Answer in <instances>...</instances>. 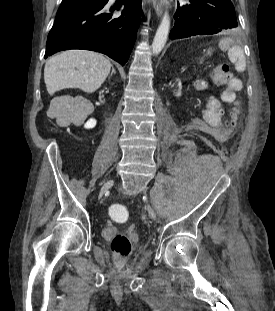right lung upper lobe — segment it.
Returning <instances> with one entry per match:
<instances>
[{"mask_svg":"<svg viewBox=\"0 0 275 311\" xmlns=\"http://www.w3.org/2000/svg\"><path fill=\"white\" fill-rule=\"evenodd\" d=\"M64 1H70V0H63L62 2H64Z\"/></svg>","mask_w":275,"mask_h":311,"instance_id":"cb5924a9","label":"right lung upper lobe"}]
</instances>
